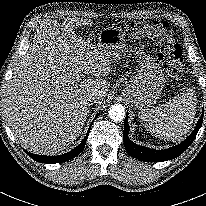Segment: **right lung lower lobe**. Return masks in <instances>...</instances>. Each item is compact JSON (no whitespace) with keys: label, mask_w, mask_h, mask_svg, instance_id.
Wrapping results in <instances>:
<instances>
[{"label":"right lung lower lobe","mask_w":206,"mask_h":206,"mask_svg":"<svg viewBox=\"0 0 206 206\" xmlns=\"http://www.w3.org/2000/svg\"><path fill=\"white\" fill-rule=\"evenodd\" d=\"M98 116V114L96 115V117ZM95 117V118H96ZM90 128L85 136V138L83 139V141L73 150H71L68 153L62 154V155H57V156H44V155H36L33 153H30L26 150H24L32 159H34L35 161H38L40 163H60V162H65L68 160H71L72 158H75L77 155H79L86 144V140L88 138V134H89Z\"/></svg>","instance_id":"1"}]
</instances>
